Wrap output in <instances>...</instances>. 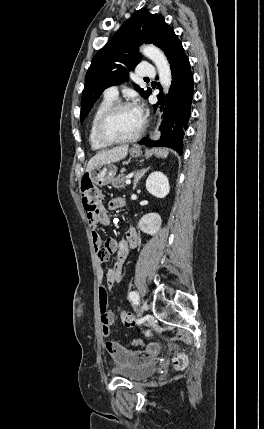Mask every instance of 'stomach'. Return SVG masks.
Masks as SVG:
<instances>
[{
    "label": "stomach",
    "mask_w": 264,
    "mask_h": 429,
    "mask_svg": "<svg viewBox=\"0 0 264 429\" xmlns=\"http://www.w3.org/2000/svg\"><path fill=\"white\" fill-rule=\"evenodd\" d=\"M142 154L139 148H132L130 150V155L132 157H139ZM157 157H166L168 152L165 149H157L155 151ZM117 173V167L111 163L102 164L95 166L84 176L88 178L93 184L104 186L109 184Z\"/></svg>",
    "instance_id": "1"
}]
</instances>
